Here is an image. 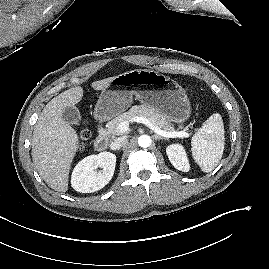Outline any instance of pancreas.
<instances>
[{
	"label": "pancreas",
	"mask_w": 269,
	"mask_h": 269,
	"mask_svg": "<svg viewBox=\"0 0 269 269\" xmlns=\"http://www.w3.org/2000/svg\"><path fill=\"white\" fill-rule=\"evenodd\" d=\"M140 116L145 117L153 122L158 128H163L167 131H172L173 127L169 122L154 108L145 105L132 106L127 112L117 116L107 124L106 134L109 137L118 136L122 133L117 129L118 125L124 121H131L132 118Z\"/></svg>",
	"instance_id": "obj_1"
}]
</instances>
